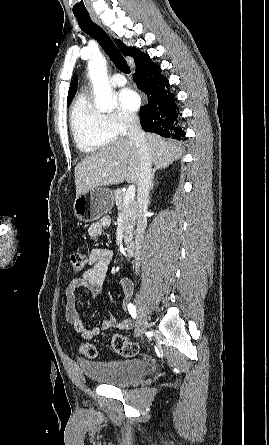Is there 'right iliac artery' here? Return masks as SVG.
<instances>
[{
    "label": "right iliac artery",
    "instance_id": "1",
    "mask_svg": "<svg viewBox=\"0 0 269 445\" xmlns=\"http://www.w3.org/2000/svg\"><path fill=\"white\" fill-rule=\"evenodd\" d=\"M128 311H129L130 315L135 319L137 316V313H136V308L132 303L128 304Z\"/></svg>",
    "mask_w": 269,
    "mask_h": 445
}]
</instances>
